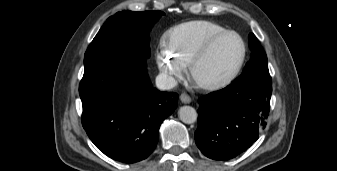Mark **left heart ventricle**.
<instances>
[{
	"mask_svg": "<svg viewBox=\"0 0 337 171\" xmlns=\"http://www.w3.org/2000/svg\"><path fill=\"white\" fill-rule=\"evenodd\" d=\"M241 51V43L236 36H227L221 39L198 65L197 78L205 82L221 80L236 65Z\"/></svg>",
	"mask_w": 337,
	"mask_h": 171,
	"instance_id": "1",
	"label": "left heart ventricle"
}]
</instances>
